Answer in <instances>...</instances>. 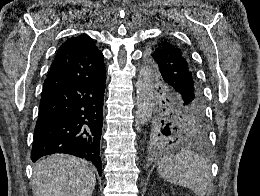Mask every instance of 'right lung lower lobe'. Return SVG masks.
I'll return each mask as SVG.
<instances>
[{
	"label": "right lung lower lobe",
	"mask_w": 260,
	"mask_h": 196,
	"mask_svg": "<svg viewBox=\"0 0 260 196\" xmlns=\"http://www.w3.org/2000/svg\"><path fill=\"white\" fill-rule=\"evenodd\" d=\"M106 73L42 95L31 152L33 162L66 153L93 162L99 175Z\"/></svg>",
	"instance_id": "obj_1"
}]
</instances>
